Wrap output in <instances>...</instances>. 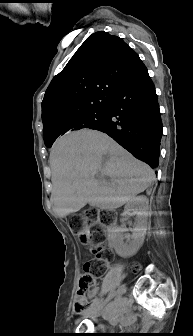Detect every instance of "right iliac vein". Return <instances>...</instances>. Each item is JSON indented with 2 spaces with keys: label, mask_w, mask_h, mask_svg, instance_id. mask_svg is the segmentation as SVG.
<instances>
[{
  "label": "right iliac vein",
  "mask_w": 193,
  "mask_h": 336,
  "mask_svg": "<svg viewBox=\"0 0 193 336\" xmlns=\"http://www.w3.org/2000/svg\"><path fill=\"white\" fill-rule=\"evenodd\" d=\"M126 291V286L125 285H122L119 290H118V301H117V305L119 304L120 300H121V296L125 293ZM100 309L101 307H94L90 310H88L86 313H85V316H89V315H96L100 312Z\"/></svg>",
  "instance_id": "63e3f726"
}]
</instances>
